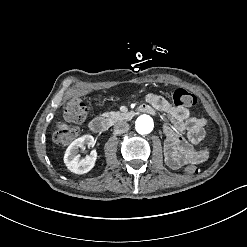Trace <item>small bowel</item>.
Segmentation results:
<instances>
[{"label": "small bowel", "mask_w": 247, "mask_h": 247, "mask_svg": "<svg viewBox=\"0 0 247 247\" xmlns=\"http://www.w3.org/2000/svg\"><path fill=\"white\" fill-rule=\"evenodd\" d=\"M146 100L153 108L165 112L171 121V125H165L162 129L164 155L168 166L172 169L181 166V163L176 160L178 153L187 154V159L184 162L187 164L205 161L208 156L207 148L201 147L199 150H194L192 145H198L204 139L206 120L197 117L186 107L171 106L161 95L150 93ZM153 108L149 109V114L155 113Z\"/></svg>", "instance_id": "c3829d8e"}]
</instances>
